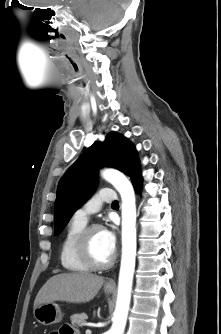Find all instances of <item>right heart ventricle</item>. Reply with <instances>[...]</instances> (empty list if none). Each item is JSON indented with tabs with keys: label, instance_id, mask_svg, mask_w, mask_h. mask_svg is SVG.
<instances>
[{
	"label": "right heart ventricle",
	"instance_id": "1",
	"mask_svg": "<svg viewBox=\"0 0 221 334\" xmlns=\"http://www.w3.org/2000/svg\"><path fill=\"white\" fill-rule=\"evenodd\" d=\"M87 222L75 217L69 222L60 247V261L62 267L72 273H86L90 268L83 263L77 253L76 244L81 231Z\"/></svg>",
	"mask_w": 221,
	"mask_h": 334
}]
</instances>
